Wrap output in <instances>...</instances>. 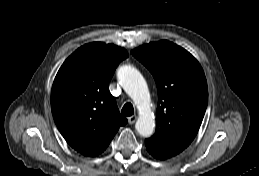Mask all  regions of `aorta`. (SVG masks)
<instances>
[{
  "instance_id": "1",
  "label": "aorta",
  "mask_w": 259,
  "mask_h": 176,
  "mask_svg": "<svg viewBox=\"0 0 259 176\" xmlns=\"http://www.w3.org/2000/svg\"><path fill=\"white\" fill-rule=\"evenodd\" d=\"M117 76L140 112L135 124L136 131L143 137H150L154 133L155 121L150 110V94L144 77L135 67L129 65L121 66Z\"/></svg>"
}]
</instances>
